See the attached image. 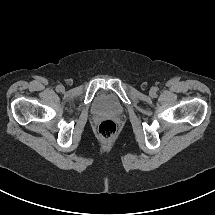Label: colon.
Instances as JSON below:
<instances>
[{"mask_svg":"<svg viewBox=\"0 0 215 215\" xmlns=\"http://www.w3.org/2000/svg\"><path fill=\"white\" fill-rule=\"evenodd\" d=\"M98 132L104 139H111L117 133V124L113 120H104L99 124Z\"/></svg>","mask_w":215,"mask_h":215,"instance_id":"1","label":"colon"}]
</instances>
